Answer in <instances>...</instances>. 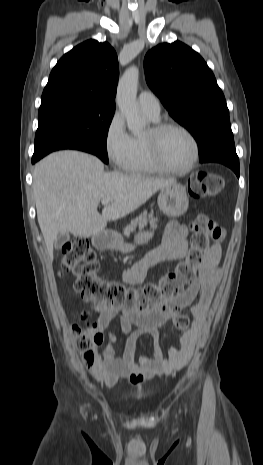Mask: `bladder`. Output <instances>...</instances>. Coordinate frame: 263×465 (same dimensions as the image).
<instances>
[{
    "label": "bladder",
    "instance_id": "31cf9c89",
    "mask_svg": "<svg viewBox=\"0 0 263 465\" xmlns=\"http://www.w3.org/2000/svg\"><path fill=\"white\" fill-rule=\"evenodd\" d=\"M142 399V396L139 395V396H136L135 400H141Z\"/></svg>",
    "mask_w": 263,
    "mask_h": 465
}]
</instances>
